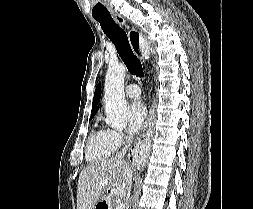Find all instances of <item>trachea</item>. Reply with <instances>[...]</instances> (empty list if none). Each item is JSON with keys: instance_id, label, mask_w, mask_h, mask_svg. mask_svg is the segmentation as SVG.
Wrapping results in <instances>:
<instances>
[{"instance_id": "trachea-1", "label": "trachea", "mask_w": 253, "mask_h": 209, "mask_svg": "<svg viewBox=\"0 0 253 209\" xmlns=\"http://www.w3.org/2000/svg\"><path fill=\"white\" fill-rule=\"evenodd\" d=\"M95 19L100 23L104 33L114 43L128 71L137 77H143L142 64L133 53L126 32L114 22L111 15H102L95 17ZM134 49L138 51V47Z\"/></svg>"}]
</instances>
